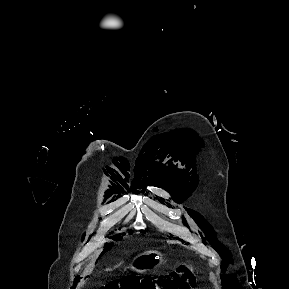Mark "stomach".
Masks as SVG:
<instances>
[{
	"instance_id": "1",
	"label": "stomach",
	"mask_w": 289,
	"mask_h": 289,
	"mask_svg": "<svg viewBox=\"0 0 289 289\" xmlns=\"http://www.w3.org/2000/svg\"><path fill=\"white\" fill-rule=\"evenodd\" d=\"M161 261L160 254L156 251H148L134 258L129 268L138 273L149 271Z\"/></svg>"
}]
</instances>
